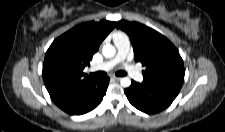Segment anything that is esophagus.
Segmentation results:
<instances>
[{"label": "esophagus", "instance_id": "34e87169", "mask_svg": "<svg viewBox=\"0 0 225 132\" xmlns=\"http://www.w3.org/2000/svg\"><path fill=\"white\" fill-rule=\"evenodd\" d=\"M121 78L120 77H117V76H112L111 77V80L113 81H119Z\"/></svg>", "mask_w": 225, "mask_h": 132}]
</instances>
